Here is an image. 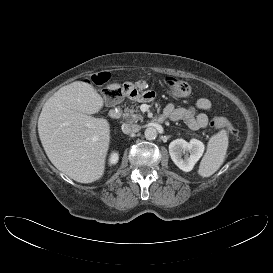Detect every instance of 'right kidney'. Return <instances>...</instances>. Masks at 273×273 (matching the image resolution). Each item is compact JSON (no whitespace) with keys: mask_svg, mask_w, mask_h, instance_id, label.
Wrapping results in <instances>:
<instances>
[{"mask_svg":"<svg viewBox=\"0 0 273 273\" xmlns=\"http://www.w3.org/2000/svg\"><path fill=\"white\" fill-rule=\"evenodd\" d=\"M119 160V155L118 153L116 152H113L111 155H110V158H109V163L110 165H115Z\"/></svg>","mask_w":273,"mask_h":273,"instance_id":"right-kidney-1","label":"right kidney"}]
</instances>
